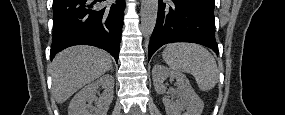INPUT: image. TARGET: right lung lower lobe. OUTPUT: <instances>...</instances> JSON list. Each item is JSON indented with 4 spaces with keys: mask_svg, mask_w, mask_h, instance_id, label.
I'll list each match as a JSON object with an SVG mask.
<instances>
[{
    "mask_svg": "<svg viewBox=\"0 0 285 115\" xmlns=\"http://www.w3.org/2000/svg\"><path fill=\"white\" fill-rule=\"evenodd\" d=\"M105 0H53L51 59L73 45H92L118 62L125 0L101 6Z\"/></svg>",
    "mask_w": 285,
    "mask_h": 115,
    "instance_id": "98d812e1",
    "label": "right lung lower lobe"
}]
</instances>
